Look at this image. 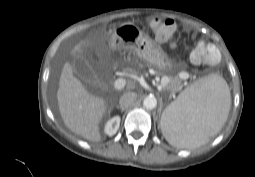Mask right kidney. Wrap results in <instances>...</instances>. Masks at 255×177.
<instances>
[{
    "label": "right kidney",
    "instance_id": "1",
    "mask_svg": "<svg viewBox=\"0 0 255 177\" xmlns=\"http://www.w3.org/2000/svg\"><path fill=\"white\" fill-rule=\"evenodd\" d=\"M120 120L121 119L119 116H115L108 120L104 127L105 134H107L108 136L116 134L120 126Z\"/></svg>",
    "mask_w": 255,
    "mask_h": 177
}]
</instances>
